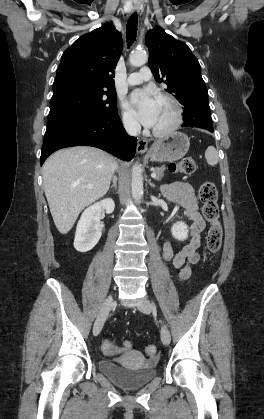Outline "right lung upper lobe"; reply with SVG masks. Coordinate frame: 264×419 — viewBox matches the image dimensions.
<instances>
[{
    "label": "right lung upper lobe",
    "mask_w": 264,
    "mask_h": 419,
    "mask_svg": "<svg viewBox=\"0 0 264 419\" xmlns=\"http://www.w3.org/2000/svg\"><path fill=\"white\" fill-rule=\"evenodd\" d=\"M121 51V34L111 24L81 36L63 53L53 91L70 85L115 90L114 69Z\"/></svg>",
    "instance_id": "obj_1"
}]
</instances>
